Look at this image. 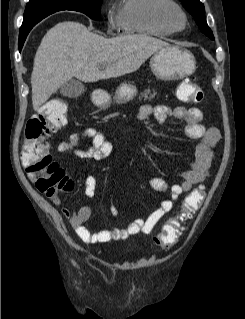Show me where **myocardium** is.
Here are the masks:
<instances>
[{"instance_id":"1","label":"myocardium","mask_w":245,"mask_h":319,"mask_svg":"<svg viewBox=\"0 0 245 319\" xmlns=\"http://www.w3.org/2000/svg\"><path fill=\"white\" fill-rule=\"evenodd\" d=\"M158 15L173 32L182 31L186 27L187 17L184 10L172 0L159 6Z\"/></svg>"}]
</instances>
